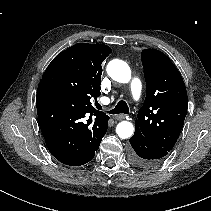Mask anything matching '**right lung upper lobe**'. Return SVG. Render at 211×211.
<instances>
[{
	"label": "right lung upper lobe",
	"instance_id": "obj_1",
	"mask_svg": "<svg viewBox=\"0 0 211 211\" xmlns=\"http://www.w3.org/2000/svg\"><path fill=\"white\" fill-rule=\"evenodd\" d=\"M111 52V48L104 44L77 43L53 59L39 85L51 87L48 79L57 76L60 86L68 89L86 108L104 116V112L91 106L90 99L101 94V64Z\"/></svg>",
	"mask_w": 211,
	"mask_h": 211
}]
</instances>
